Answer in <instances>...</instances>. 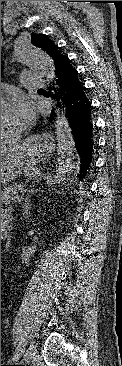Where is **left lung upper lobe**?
<instances>
[{
	"mask_svg": "<svg viewBox=\"0 0 122 366\" xmlns=\"http://www.w3.org/2000/svg\"><path fill=\"white\" fill-rule=\"evenodd\" d=\"M31 41L35 46L41 48L49 56L52 57L55 66L59 63L61 58L64 57V55L60 53L58 47L54 45L52 41L45 34H32Z\"/></svg>",
	"mask_w": 122,
	"mask_h": 366,
	"instance_id": "obj_1",
	"label": "left lung upper lobe"
}]
</instances>
